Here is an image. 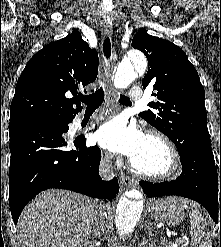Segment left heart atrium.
<instances>
[{
    "mask_svg": "<svg viewBox=\"0 0 221 247\" xmlns=\"http://www.w3.org/2000/svg\"><path fill=\"white\" fill-rule=\"evenodd\" d=\"M95 138L103 148L132 159L140 151L146 135L136 124L119 117L103 124Z\"/></svg>",
    "mask_w": 221,
    "mask_h": 247,
    "instance_id": "left-heart-atrium-1",
    "label": "left heart atrium"
}]
</instances>
